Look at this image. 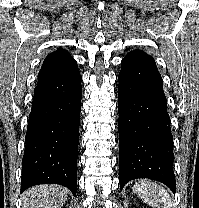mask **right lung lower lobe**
Returning <instances> with one entry per match:
<instances>
[{
    "instance_id": "1",
    "label": "right lung lower lobe",
    "mask_w": 199,
    "mask_h": 208,
    "mask_svg": "<svg viewBox=\"0 0 199 208\" xmlns=\"http://www.w3.org/2000/svg\"><path fill=\"white\" fill-rule=\"evenodd\" d=\"M81 76L36 86L25 137L21 193L56 183L77 191Z\"/></svg>"
}]
</instances>
